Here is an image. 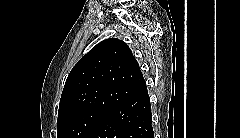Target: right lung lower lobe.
Segmentation results:
<instances>
[{
    "mask_svg": "<svg viewBox=\"0 0 240 138\" xmlns=\"http://www.w3.org/2000/svg\"><path fill=\"white\" fill-rule=\"evenodd\" d=\"M86 138H154L147 89L108 111Z\"/></svg>",
    "mask_w": 240,
    "mask_h": 138,
    "instance_id": "right-lung-lower-lobe-1",
    "label": "right lung lower lobe"
}]
</instances>
